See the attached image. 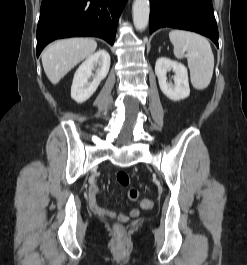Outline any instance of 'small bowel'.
Instances as JSON below:
<instances>
[{"label":"small bowel","instance_id":"1","mask_svg":"<svg viewBox=\"0 0 247 265\" xmlns=\"http://www.w3.org/2000/svg\"><path fill=\"white\" fill-rule=\"evenodd\" d=\"M97 189L93 188L89 195V205L93 212L103 215L109 218H119L121 220H127L129 217H137L139 215L138 209H132L130 213L127 214H118L116 211L103 207L98 203L97 200Z\"/></svg>","mask_w":247,"mask_h":265}]
</instances>
